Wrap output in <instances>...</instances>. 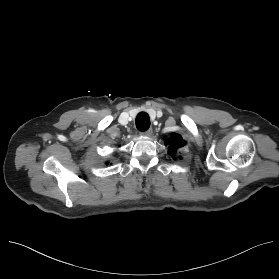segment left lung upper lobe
Returning <instances> with one entry per match:
<instances>
[{"instance_id": "left-lung-upper-lobe-1", "label": "left lung upper lobe", "mask_w": 279, "mask_h": 279, "mask_svg": "<svg viewBox=\"0 0 279 279\" xmlns=\"http://www.w3.org/2000/svg\"><path fill=\"white\" fill-rule=\"evenodd\" d=\"M165 141L166 144H169V154L171 156L176 154L178 148L185 145V141L182 139V137L175 133L171 134L170 139H166Z\"/></svg>"}]
</instances>
